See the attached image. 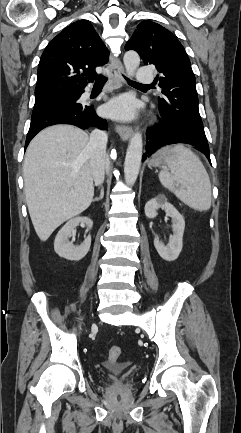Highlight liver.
I'll return each mask as SVG.
<instances>
[{"label": "liver", "instance_id": "obj_1", "mask_svg": "<svg viewBox=\"0 0 241 433\" xmlns=\"http://www.w3.org/2000/svg\"><path fill=\"white\" fill-rule=\"evenodd\" d=\"M88 134L71 125L42 130L29 144L23 165L30 218L41 241L86 210L94 196ZM106 165L109 160L106 157Z\"/></svg>", "mask_w": 241, "mask_h": 433}]
</instances>
